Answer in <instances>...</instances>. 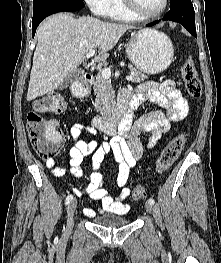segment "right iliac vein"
Instances as JSON below:
<instances>
[{
  "instance_id": "1",
  "label": "right iliac vein",
  "mask_w": 221,
  "mask_h": 263,
  "mask_svg": "<svg viewBox=\"0 0 221 263\" xmlns=\"http://www.w3.org/2000/svg\"><path fill=\"white\" fill-rule=\"evenodd\" d=\"M77 207V201L72 200L67 207V230H70L73 226V216Z\"/></svg>"
}]
</instances>
